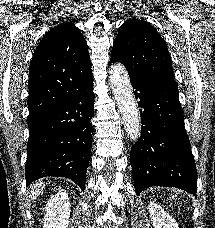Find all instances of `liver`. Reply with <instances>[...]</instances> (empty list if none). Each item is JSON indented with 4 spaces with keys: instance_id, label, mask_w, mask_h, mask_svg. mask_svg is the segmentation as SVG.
<instances>
[{
    "instance_id": "6515ba94",
    "label": "liver",
    "mask_w": 215,
    "mask_h": 228,
    "mask_svg": "<svg viewBox=\"0 0 215 228\" xmlns=\"http://www.w3.org/2000/svg\"><path fill=\"white\" fill-rule=\"evenodd\" d=\"M46 184L44 182H41V180H37V182H33V184H30L29 186V192L31 200H36L37 196H40V194H43V188H45Z\"/></svg>"
}]
</instances>
